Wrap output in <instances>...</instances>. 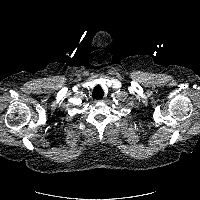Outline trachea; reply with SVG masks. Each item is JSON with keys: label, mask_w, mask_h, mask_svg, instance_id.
Returning a JSON list of instances; mask_svg holds the SVG:
<instances>
[{"label": "trachea", "mask_w": 200, "mask_h": 200, "mask_svg": "<svg viewBox=\"0 0 200 200\" xmlns=\"http://www.w3.org/2000/svg\"><path fill=\"white\" fill-rule=\"evenodd\" d=\"M103 96H104V92H103V89L101 88V86H99V85L95 86L92 97L94 99H100Z\"/></svg>", "instance_id": "1"}]
</instances>
